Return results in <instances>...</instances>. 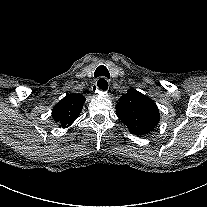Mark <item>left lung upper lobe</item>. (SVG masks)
I'll return each mask as SVG.
<instances>
[{"label":"left lung upper lobe","instance_id":"1","mask_svg":"<svg viewBox=\"0 0 207 207\" xmlns=\"http://www.w3.org/2000/svg\"><path fill=\"white\" fill-rule=\"evenodd\" d=\"M116 114L135 135L149 133L160 120L156 103L133 88L128 89L127 93L119 98Z\"/></svg>","mask_w":207,"mask_h":207}]
</instances>
